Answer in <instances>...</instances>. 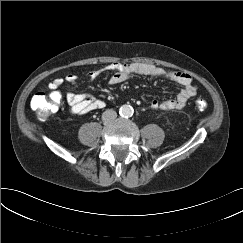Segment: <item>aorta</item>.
Masks as SVG:
<instances>
[{
    "label": "aorta",
    "mask_w": 243,
    "mask_h": 243,
    "mask_svg": "<svg viewBox=\"0 0 243 243\" xmlns=\"http://www.w3.org/2000/svg\"><path fill=\"white\" fill-rule=\"evenodd\" d=\"M119 114L125 118L131 117L133 115V108L130 105H122L119 109Z\"/></svg>",
    "instance_id": "aorta-1"
}]
</instances>
